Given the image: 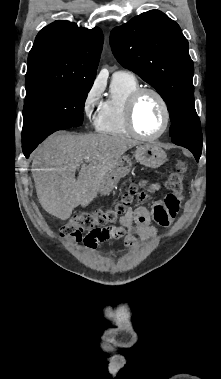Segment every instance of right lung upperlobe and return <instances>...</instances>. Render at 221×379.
<instances>
[{
  "label": "right lung upper lobe",
  "mask_w": 221,
  "mask_h": 379,
  "mask_svg": "<svg viewBox=\"0 0 221 379\" xmlns=\"http://www.w3.org/2000/svg\"><path fill=\"white\" fill-rule=\"evenodd\" d=\"M103 46V33L78 27L69 21H55L37 35L29 52L26 93L68 85L94 82Z\"/></svg>",
  "instance_id": "obj_1"
}]
</instances>
